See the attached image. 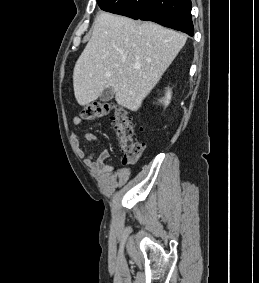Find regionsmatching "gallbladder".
I'll return each instance as SVG.
<instances>
[{"label":"gallbladder","instance_id":"gallbladder-1","mask_svg":"<svg viewBox=\"0 0 259 283\" xmlns=\"http://www.w3.org/2000/svg\"><path fill=\"white\" fill-rule=\"evenodd\" d=\"M114 97V91L111 87L105 89L101 94H100V100L103 102L110 101Z\"/></svg>","mask_w":259,"mask_h":283}]
</instances>
